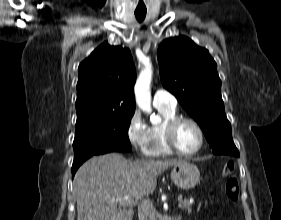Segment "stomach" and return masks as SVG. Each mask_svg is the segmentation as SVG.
Wrapping results in <instances>:
<instances>
[{"label": "stomach", "instance_id": "1", "mask_svg": "<svg viewBox=\"0 0 281 220\" xmlns=\"http://www.w3.org/2000/svg\"><path fill=\"white\" fill-rule=\"evenodd\" d=\"M172 182L182 189H190L200 182V171L191 163L182 162L175 165L171 171Z\"/></svg>", "mask_w": 281, "mask_h": 220}]
</instances>
